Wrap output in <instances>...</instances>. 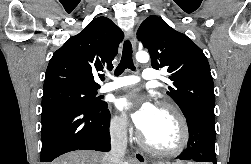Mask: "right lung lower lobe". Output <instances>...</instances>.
Masks as SVG:
<instances>
[{"instance_id":"98d812e1","label":"right lung lower lobe","mask_w":251,"mask_h":164,"mask_svg":"<svg viewBox=\"0 0 251 164\" xmlns=\"http://www.w3.org/2000/svg\"><path fill=\"white\" fill-rule=\"evenodd\" d=\"M41 162L74 150L109 151L110 113L99 108L51 105L42 108Z\"/></svg>"}]
</instances>
